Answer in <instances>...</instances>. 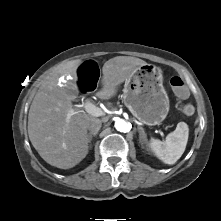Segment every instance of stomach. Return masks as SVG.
<instances>
[{
  "instance_id": "0dacf381",
  "label": "stomach",
  "mask_w": 221,
  "mask_h": 221,
  "mask_svg": "<svg viewBox=\"0 0 221 221\" xmlns=\"http://www.w3.org/2000/svg\"><path fill=\"white\" fill-rule=\"evenodd\" d=\"M123 101L143 124H160L166 118L170 107L161 70L151 64L137 68L125 81Z\"/></svg>"
}]
</instances>
